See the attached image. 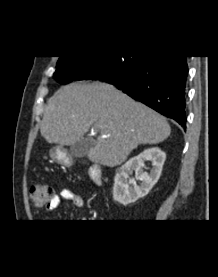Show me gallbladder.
<instances>
[{
    "label": "gallbladder",
    "instance_id": "gallbladder-1",
    "mask_svg": "<svg viewBox=\"0 0 218 277\" xmlns=\"http://www.w3.org/2000/svg\"><path fill=\"white\" fill-rule=\"evenodd\" d=\"M91 147L92 140L89 138H82L70 146V154L74 157H82Z\"/></svg>",
    "mask_w": 218,
    "mask_h": 277
}]
</instances>
